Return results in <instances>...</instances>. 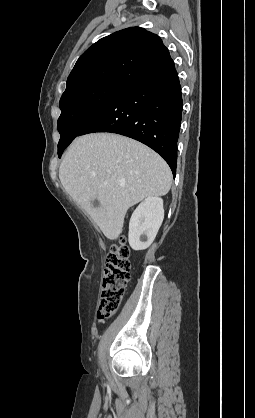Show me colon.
Segmentation results:
<instances>
[{
  "label": "colon",
  "instance_id": "obj_1",
  "mask_svg": "<svg viewBox=\"0 0 255 418\" xmlns=\"http://www.w3.org/2000/svg\"><path fill=\"white\" fill-rule=\"evenodd\" d=\"M129 281V250L123 243H120L112 246L106 258L101 294L97 307L98 319H107L116 313Z\"/></svg>",
  "mask_w": 255,
  "mask_h": 418
}]
</instances>
